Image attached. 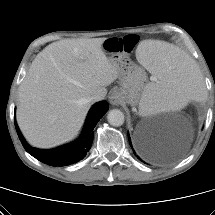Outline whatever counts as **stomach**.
I'll use <instances>...</instances> for the list:
<instances>
[{
    "instance_id": "0dacf381",
    "label": "stomach",
    "mask_w": 215,
    "mask_h": 215,
    "mask_svg": "<svg viewBox=\"0 0 215 215\" xmlns=\"http://www.w3.org/2000/svg\"><path fill=\"white\" fill-rule=\"evenodd\" d=\"M109 59L119 72V92L123 100L135 106L144 87V69L132 62L128 54L123 52L112 53Z\"/></svg>"
}]
</instances>
